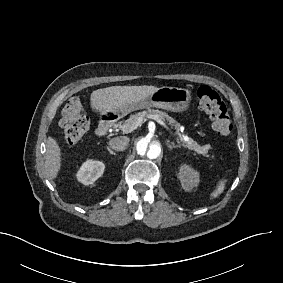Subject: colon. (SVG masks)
I'll return each mask as SVG.
<instances>
[{
	"instance_id": "obj_1",
	"label": "colon",
	"mask_w": 283,
	"mask_h": 283,
	"mask_svg": "<svg viewBox=\"0 0 283 283\" xmlns=\"http://www.w3.org/2000/svg\"><path fill=\"white\" fill-rule=\"evenodd\" d=\"M198 106L211 119L212 127L219 136H228L232 131L229 109L219 93L207 85L197 90ZM61 128L66 145H75L88 131L89 120L81 102L70 100L61 113Z\"/></svg>"
}]
</instances>
